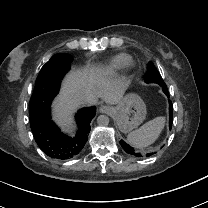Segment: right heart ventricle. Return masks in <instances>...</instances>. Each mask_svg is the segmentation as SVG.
<instances>
[{
    "instance_id": "e07e8e85",
    "label": "right heart ventricle",
    "mask_w": 208,
    "mask_h": 208,
    "mask_svg": "<svg viewBox=\"0 0 208 208\" xmlns=\"http://www.w3.org/2000/svg\"><path fill=\"white\" fill-rule=\"evenodd\" d=\"M133 57L128 53H119L108 62L97 66L93 70L92 77L97 84H108L121 71L132 65Z\"/></svg>"
}]
</instances>
